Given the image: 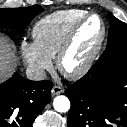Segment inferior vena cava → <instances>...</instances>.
I'll use <instances>...</instances> for the list:
<instances>
[{
    "instance_id": "obj_1",
    "label": "inferior vena cava",
    "mask_w": 127,
    "mask_h": 127,
    "mask_svg": "<svg viewBox=\"0 0 127 127\" xmlns=\"http://www.w3.org/2000/svg\"><path fill=\"white\" fill-rule=\"evenodd\" d=\"M26 75L28 79L33 81H41L47 77L45 70L36 67H28L26 70Z\"/></svg>"
}]
</instances>
